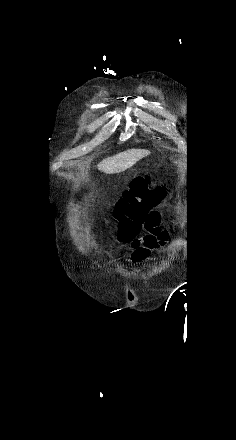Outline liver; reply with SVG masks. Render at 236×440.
<instances>
[{
	"instance_id": "liver-1",
	"label": "liver",
	"mask_w": 236,
	"mask_h": 440,
	"mask_svg": "<svg viewBox=\"0 0 236 440\" xmlns=\"http://www.w3.org/2000/svg\"><path fill=\"white\" fill-rule=\"evenodd\" d=\"M149 154L150 152L148 150L130 149L104 159L97 165V167L100 171L106 174L120 173L129 169L137 161Z\"/></svg>"
}]
</instances>
